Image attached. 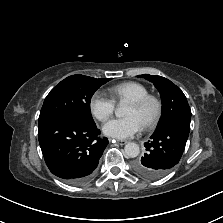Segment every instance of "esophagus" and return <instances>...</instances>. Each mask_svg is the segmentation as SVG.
Returning <instances> with one entry per match:
<instances>
[{
	"label": "esophagus",
	"instance_id": "34e87169",
	"mask_svg": "<svg viewBox=\"0 0 223 223\" xmlns=\"http://www.w3.org/2000/svg\"><path fill=\"white\" fill-rule=\"evenodd\" d=\"M110 141H114V142H117L118 144H120V145H124V144H126L127 143V141H125V140H110Z\"/></svg>",
	"mask_w": 223,
	"mask_h": 223
}]
</instances>
